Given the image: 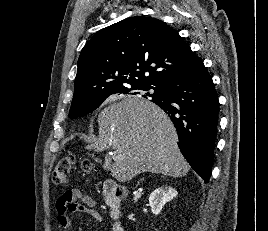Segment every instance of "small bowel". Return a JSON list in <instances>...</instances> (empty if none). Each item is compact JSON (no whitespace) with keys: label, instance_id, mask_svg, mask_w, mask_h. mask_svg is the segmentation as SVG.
I'll return each mask as SVG.
<instances>
[{"label":"small bowel","instance_id":"obj_1","mask_svg":"<svg viewBox=\"0 0 268 231\" xmlns=\"http://www.w3.org/2000/svg\"><path fill=\"white\" fill-rule=\"evenodd\" d=\"M55 207L57 222L63 229L72 227L71 215L74 213H86L97 221L101 220L94 198L76 187L63 191L56 200Z\"/></svg>","mask_w":268,"mask_h":231}]
</instances>
